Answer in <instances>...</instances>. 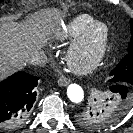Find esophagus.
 <instances>
[{
  "label": "esophagus",
  "instance_id": "34e87169",
  "mask_svg": "<svg viewBox=\"0 0 133 133\" xmlns=\"http://www.w3.org/2000/svg\"><path fill=\"white\" fill-rule=\"evenodd\" d=\"M70 80L65 76H60L58 79V85L61 87H65L69 84Z\"/></svg>",
  "mask_w": 133,
  "mask_h": 133
}]
</instances>
